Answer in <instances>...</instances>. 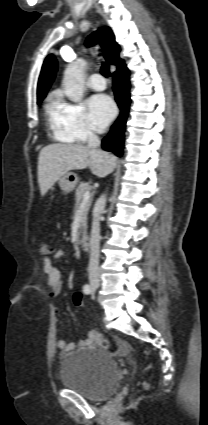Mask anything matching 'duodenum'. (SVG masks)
<instances>
[{
    "label": "duodenum",
    "mask_w": 208,
    "mask_h": 425,
    "mask_svg": "<svg viewBox=\"0 0 208 425\" xmlns=\"http://www.w3.org/2000/svg\"><path fill=\"white\" fill-rule=\"evenodd\" d=\"M80 244H81L82 248H83L85 251L89 250V242H88V240H87V237L83 236V237L81 238V242H80Z\"/></svg>",
    "instance_id": "410a0bca"
}]
</instances>
